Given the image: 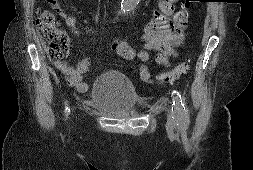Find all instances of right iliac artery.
I'll list each match as a JSON object with an SVG mask.
<instances>
[{
	"instance_id": "right-iliac-artery-1",
	"label": "right iliac artery",
	"mask_w": 253,
	"mask_h": 170,
	"mask_svg": "<svg viewBox=\"0 0 253 170\" xmlns=\"http://www.w3.org/2000/svg\"><path fill=\"white\" fill-rule=\"evenodd\" d=\"M69 111H70V110L68 109V107H66L65 112L68 114Z\"/></svg>"
}]
</instances>
